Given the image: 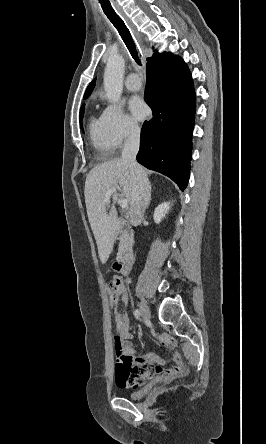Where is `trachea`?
<instances>
[{
	"label": "trachea",
	"instance_id": "1",
	"mask_svg": "<svg viewBox=\"0 0 266 444\" xmlns=\"http://www.w3.org/2000/svg\"><path fill=\"white\" fill-rule=\"evenodd\" d=\"M102 9L113 24V26L117 29L119 35L121 36L123 42L125 43L127 49L129 50L134 61L141 66V61L139 58V50L131 36V33L128 27L125 25L124 21L121 19L119 15L116 14L114 9L112 8L110 2L103 3L101 2Z\"/></svg>",
	"mask_w": 266,
	"mask_h": 444
}]
</instances>
